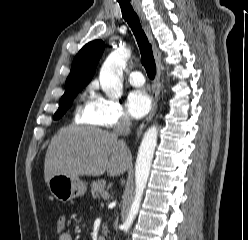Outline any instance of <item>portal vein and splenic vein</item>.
Segmentation results:
<instances>
[{"label": "portal vein and splenic vein", "instance_id": "portal-vein-and-splenic-vein-1", "mask_svg": "<svg viewBox=\"0 0 248 240\" xmlns=\"http://www.w3.org/2000/svg\"><path fill=\"white\" fill-rule=\"evenodd\" d=\"M102 197H103L104 199L108 198V197H109L108 192H104L103 195H102Z\"/></svg>", "mask_w": 248, "mask_h": 240}]
</instances>
